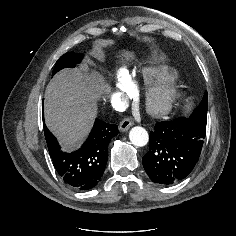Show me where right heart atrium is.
I'll return each instance as SVG.
<instances>
[{"label": "right heart atrium", "instance_id": "obj_1", "mask_svg": "<svg viewBox=\"0 0 236 236\" xmlns=\"http://www.w3.org/2000/svg\"><path fill=\"white\" fill-rule=\"evenodd\" d=\"M111 86L113 89L112 96L114 102L122 101L133 93V87L126 69L118 71L111 83Z\"/></svg>", "mask_w": 236, "mask_h": 236}]
</instances>
